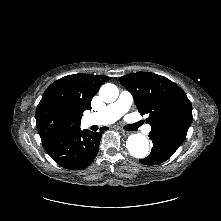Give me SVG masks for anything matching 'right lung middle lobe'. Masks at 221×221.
<instances>
[{"label": "right lung middle lobe", "mask_w": 221, "mask_h": 221, "mask_svg": "<svg viewBox=\"0 0 221 221\" xmlns=\"http://www.w3.org/2000/svg\"><path fill=\"white\" fill-rule=\"evenodd\" d=\"M69 126V119L64 114H53L41 122L42 138H55L64 133Z\"/></svg>", "instance_id": "1"}]
</instances>
